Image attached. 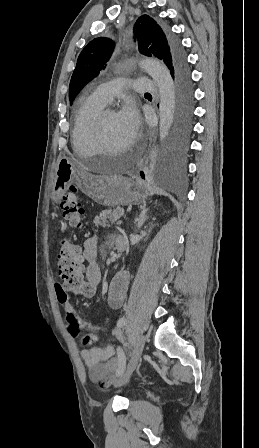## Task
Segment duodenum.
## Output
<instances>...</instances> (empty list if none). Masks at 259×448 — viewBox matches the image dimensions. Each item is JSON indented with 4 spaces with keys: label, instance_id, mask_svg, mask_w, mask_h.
Returning a JSON list of instances; mask_svg holds the SVG:
<instances>
[{
    "label": "duodenum",
    "instance_id": "duodenum-1",
    "mask_svg": "<svg viewBox=\"0 0 259 448\" xmlns=\"http://www.w3.org/2000/svg\"><path fill=\"white\" fill-rule=\"evenodd\" d=\"M116 247H117V250L120 253H122V252H124V250L126 248V244L124 242H119Z\"/></svg>",
    "mask_w": 259,
    "mask_h": 448
}]
</instances>
